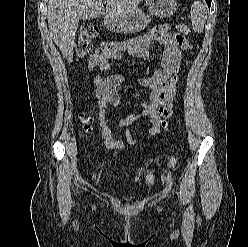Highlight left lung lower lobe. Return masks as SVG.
I'll return each mask as SVG.
<instances>
[{
	"label": "left lung lower lobe",
	"instance_id": "obj_1",
	"mask_svg": "<svg viewBox=\"0 0 248 247\" xmlns=\"http://www.w3.org/2000/svg\"><path fill=\"white\" fill-rule=\"evenodd\" d=\"M205 1H206V3L208 4V6L210 8V6H211V0H205Z\"/></svg>",
	"mask_w": 248,
	"mask_h": 247
}]
</instances>
